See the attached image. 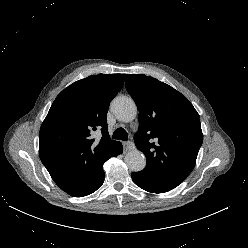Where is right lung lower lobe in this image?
Listing matches in <instances>:
<instances>
[{
	"label": "right lung lower lobe",
	"instance_id": "obj_1",
	"mask_svg": "<svg viewBox=\"0 0 248 248\" xmlns=\"http://www.w3.org/2000/svg\"><path fill=\"white\" fill-rule=\"evenodd\" d=\"M122 152H123V147H122V144L119 142L118 145L113 150L112 156H117L121 154ZM104 178H105V174L103 171V173L100 175V177L95 181L93 185H91L88 189H86L85 191L79 193L78 195L74 197H83V196L93 193L103 184Z\"/></svg>",
	"mask_w": 248,
	"mask_h": 248
}]
</instances>
